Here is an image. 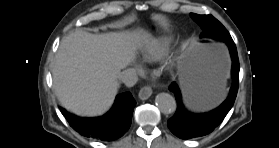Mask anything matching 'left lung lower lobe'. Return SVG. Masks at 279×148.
<instances>
[{
	"label": "left lung lower lobe",
	"mask_w": 279,
	"mask_h": 148,
	"mask_svg": "<svg viewBox=\"0 0 279 148\" xmlns=\"http://www.w3.org/2000/svg\"><path fill=\"white\" fill-rule=\"evenodd\" d=\"M223 41L228 45L232 59L231 76L233 83L229 96L218 108L208 113H190L182 104L181 94L177 84L173 82L169 87L170 91L175 94L177 110L173 117L168 120V128L181 139L196 138L209 134L223 121L234 104L239 84L240 67L238 54L232 38H227Z\"/></svg>",
	"instance_id": "left-lung-lower-lobe-1"
}]
</instances>
